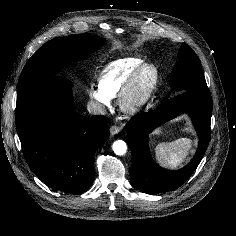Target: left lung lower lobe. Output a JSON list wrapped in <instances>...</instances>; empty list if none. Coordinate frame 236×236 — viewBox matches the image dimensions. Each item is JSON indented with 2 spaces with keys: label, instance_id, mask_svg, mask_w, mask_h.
<instances>
[{
  "label": "left lung lower lobe",
  "instance_id": "obj_1",
  "mask_svg": "<svg viewBox=\"0 0 236 236\" xmlns=\"http://www.w3.org/2000/svg\"><path fill=\"white\" fill-rule=\"evenodd\" d=\"M212 98L208 88L180 92L157 109L144 113L125 126L132 153L130 169L134 186L144 193L156 194L179 188L196 170L210 141ZM188 113L199 135L194 158L184 168L169 171L159 167L151 158L148 135L175 116Z\"/></svg>",
  "mask_w": 236,
  "mask_h": 236
}]
</instances>
